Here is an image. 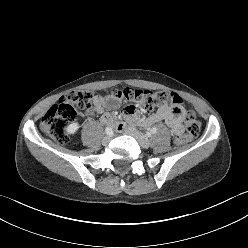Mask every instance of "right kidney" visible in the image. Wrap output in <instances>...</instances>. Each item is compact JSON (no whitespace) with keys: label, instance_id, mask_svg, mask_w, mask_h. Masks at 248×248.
Here are the masks:
<instances>
[{"label":"right kidney","instance_id":"right-kidney-1","mask_svg":"<svg viewBox=\"0 0 248 248\" xmlns=\"http://www.w3.org/2000/svg\"><path fill=\"white\" fill-rule=\"evenodd\" d=\"M78 129H79V124L77 122H74L67 126L66 132L69 135H73L78 131Z\"/></svg>","mask_w":248,"mask_h":248}]
</instances>
